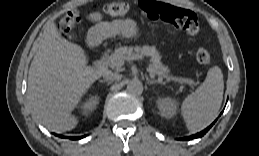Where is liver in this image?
Listing matches in <instances>:
<instances>
[{
	"mask_svg": "<svg viewBox=\"0 0 259 156\" xmlns=\"http://www.w3.org/2000/svg\"><path fill=\"white\" fill-rule=\"evenodd\" d=\"M85 51L64 39L49 24L28 75L27 96L36 118L54 132L72 130L78 119L72 111L106 69L88 66Z\"/></svg>",
	"mask_w": 259,
	"mask_h": 156,
	"instance_id": "6515ba94",
	"label": "liver"
}]
</instances>
